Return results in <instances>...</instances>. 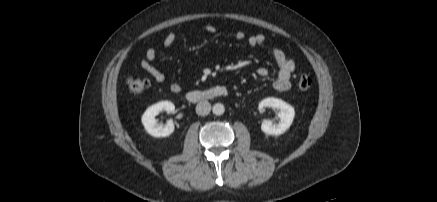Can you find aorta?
<instances>
[{"label":"aorta","mask_w":437,"mask_h":202,"mask_svg":"<svg viewBox=\"0 0 437 202\" xmlns=\"http://www.w3.org/2000/svg\"><path fill=\"white\" fill-rule=\"evenodd\" d=\"M224 111H225V107L221 103L214 104V106L212 108V112L215 115H222L224 113Z\"/></svg>","instance_id":"1"}]
</instances>
